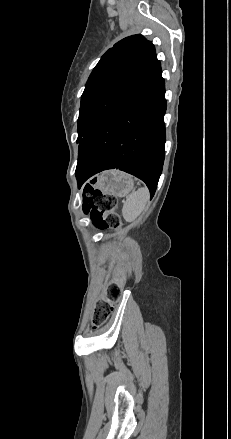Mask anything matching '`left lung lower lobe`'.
Masks as SVG:
<instances>
[{"instance_id":"0a47b994","label":"left lung lower lobe","mask_w":231,"mask_h":439,"mask_svg":"<svg viewBox=\"0 0 231 439\" xmlns=\"http://www.w3.org/2000/svg\"><path fill=\"white\" fill-rule=\"evenodd\" d=\"M165 83L161 67L137 84L79 143L76 177L118 168L148 186L153 197L165 157Z\"/></svg>"}]
</instances>
